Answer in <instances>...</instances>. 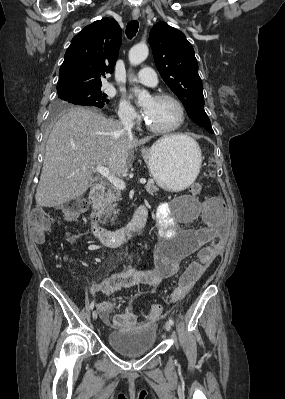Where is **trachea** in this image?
<instances>
[{
    "label": "trachea",
    "mask_w": 285,
    "mask_h": 399,
    "mask_svg": "<svg viewBox=\"0 0 285 399\" xmlns=\"http://www.w3.org/2000/svg\"><path fill=\"white\" fill-rule=\"evenodd\" d=\"M138 27H139L138 21L136 20L130 21L126 26V31H125L127 37L130 39L133 38L137 33Z\"/></svg>",
    "instance_id": "3493384b"
}]
</instances>
